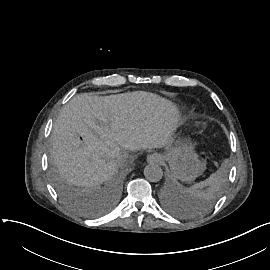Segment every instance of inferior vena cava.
<instances>
[{
	"instance_id": "obj_1",
	"label": "inferior vena cava",
	"mask_w": 270,
	"mask_h": 270,
	"mask_svg": "<svg viewBox=\"0 0 270 270\" xmlns=\"http://www.w3.org/2000/svg\"><path fill=\"white\" fill-rule=\"evenodd\" d=\"M124 156V155H123ZM126 156V159L128 158V155H125ZM126 161V160H125Z\"/></svg>"
}]
</instances>
